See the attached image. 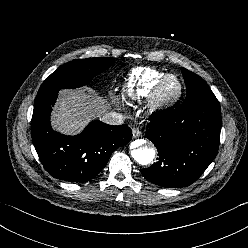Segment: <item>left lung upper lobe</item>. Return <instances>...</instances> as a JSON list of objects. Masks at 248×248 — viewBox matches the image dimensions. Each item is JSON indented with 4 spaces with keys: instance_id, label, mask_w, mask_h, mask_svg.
I'll return each mask as SVG.
<instances>
[{
    "instance_id": "obj_1",
    "label": "left lung upper lobe",
    "mask_w": 248,
    "mask_h": 248,
    "mask_svg": "<svg viewBox=\"0 0 248 248\" xmlns=\"http://www.w3.org/2000/svg\"><path fill=\"white\" fill-rule=\"evenodd\" d=\"M181 72L187 85V96L183 103L189 104L205 97L215 96L200 76L185 68H181Z\"/></svg>"
}]
</instances>
